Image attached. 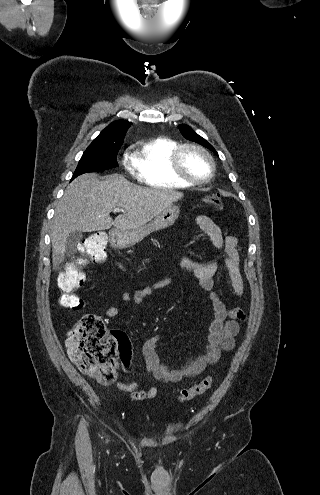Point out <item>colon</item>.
<instances>
[{
	"label": "colon",
	"mask_w": 320,
	"mask_h": 495,
	"mask_svg": "<svg viewBox=\"0 0 320 495\" xmlns=\"http://www.w3.org/2000/svg\"><path fill=\"white\" fill-rule=\"evenodd\" d=\"M205 203L214 211L222 208V198L212 194ZM107 237L103 232H95L83 242L81 254L69 263L59 277V287L63 291L60 304L66 309L81 308V299L74 291L85 280L84 268L90 263L103 262L106 259ZM69 358L80 371L93 376L100 384L109 385L117 377L118 358L128 363L131 358V344L128 337L118 331L107 330L103 320L94 314L83 316L66 339ZM213 378L205 377L196 385L184 389L179 395L180 402H187L206 393L212 386ZM134 400H143L146 392H133Z\"/></svg>",
	"instance_id": "colon-1"
}]
</instances>
